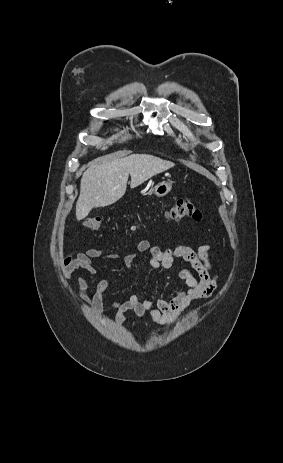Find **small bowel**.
I'll list each match as a JSON object with an SVG mask.
<instances>
[{"label": "small bowel", "instance_id": "c3829d8e", "mask_svg": "<svg viewBox=\"0 0 283 463\" xmlns=\"http://www.w3.org/2000/svg\"><path fill=\"white\" fill-rule=\"evenodd\" d=\"M209 251V245L200 246L197 250L185 244H179L172 249H162L151 245L148 239H142L135 245V252L131 254H107L99 248H86L77 253L70 252L64 256L62 267L68 279L75 270L86 271V275L78 280V295L95 310L100 311L104 302L109 300L108 290L111 281L107 279L100 281L93 296L88 295V281L95 274V262L118 260L126 269H130L137 253L142 252H149L150 265L153 268L170 269L176 259L188 262L197 275L190 269H181L178 277L182 287L171 298H142L138 294H132L124 300L110 301L112 308L117 312V320L120 324L125 322V312L134 311L141 319L148 318L156 325H167L173 323L192 303L211 297L217 289V276L212 271Z\"/></svg>", "mask_w": 283, "mask_h": 463}]
</instances>
